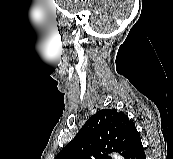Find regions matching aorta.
Wrapping results in <instances>:
<instances>
[{"instance_id": "aorta-1", "label": "aorta", "mask_w": 173, "mask_h": 159, "mask_svg": "<svg viewBox=\"0 0 173 159\" xmlns=\"http://www.w3.org/2000/svg\"><path fill=\"white\" fill-rule=\"evenodd\" d=\"M112 158H113V159H123V157L120 156V155L117 154V153H114V154L112 155Z\"/></svg>"}]
</instances>
